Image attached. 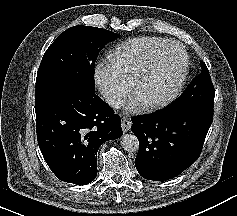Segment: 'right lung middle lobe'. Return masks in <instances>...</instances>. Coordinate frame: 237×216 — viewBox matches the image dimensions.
<instances>
[{
  "mask_svg": "<svg viewBox=\"0 0 237 216\" xmlns=\"http://www.w3.org/2000/svg\"><path fill=\"white\" fill-rule=\"evenodd\" d=\"M118 36L90 26H74L61 33L46 50L40 63L35 108L72 86H83L94 91V67L99 52Z\"/></svg>",
  "mask_w": 237,
  "mask_h": 216,
  "instance_id": "1",
  "label": "right lung middle lobe"
}]
</instances>
